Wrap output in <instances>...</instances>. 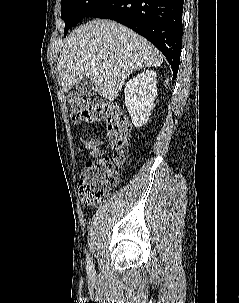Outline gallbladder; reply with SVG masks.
<instances>
[{"label": "gallbladder", "instance_id": "1", "mask_svg": "<svg viewBox=\"0 0 239 303\" xmlns=\"http://www.w3.org/2000/svg\"><path fill=\"white\" fill-rule=\"evenodd\" d=\"M75 87L76 90L84 96H92L95 93L94 80L91 77H86L85 79L77 82Z\"/></svg>", "mask_w": 239, "mask_h": 303}]
</instances>
